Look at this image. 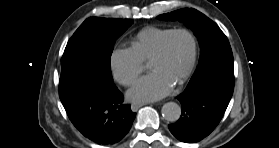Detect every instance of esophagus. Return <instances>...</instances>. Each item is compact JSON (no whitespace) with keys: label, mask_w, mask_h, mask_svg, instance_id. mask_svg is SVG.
I'll return each mask as SVG.
<instances>
[{"label":"esophagus","mask_w":279,"mask_h":148,"mask_svg":"<svg viewBox=\"0 0 279 148\" xmlns=\"http://www.w3.org/2000/svg\"><path fill=\"white\" fill-rule=\"evenodd\" d=\"M143 105H145V103H134V104L131 105V109L133 111H136L139 107H141Z\"/></svg>","instance_id":"esophagus-1"}]
</instances>
